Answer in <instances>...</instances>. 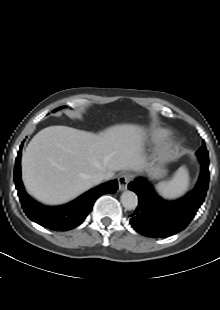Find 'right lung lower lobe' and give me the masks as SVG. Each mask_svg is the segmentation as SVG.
I'll return each instance as SVG.
<instances>
[{
  "label": "right lung lower lobe",
  "mask_w": 220,
  "mask_h": 310,
  "mask_svg": "<svg viewBox=\"0 0 220 310\" xmlns=\"http://www.w3.org/2000/svg\"><path fill=\"white\" fill-rule=\"evenodd\" d=\"M23 144V143H22ZM22 145L16 158L14 181L18 191L19 199L28 218L39 225L55 230L67 231L80 225L92 210L95 200L106 193H114L118 189L117 180L104 183L89 190L76 200L58 207L43 206L32 200L24 190L21 172L20 155Z\"/></svg>",
  "instance_id": "right-lung-lower-lobe-1"
}]
</instances>
